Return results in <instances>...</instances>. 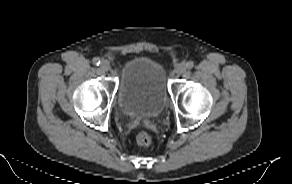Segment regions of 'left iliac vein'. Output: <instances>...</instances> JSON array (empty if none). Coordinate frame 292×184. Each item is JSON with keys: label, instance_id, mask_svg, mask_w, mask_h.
Instances as JSON below:
<instances>
[{"label": "left iliac vein", "instance_id": "1", "mask_svg": "<svg viewBox=\"0 0 292 184\" xmlns=\"http://www.w3.org/2000/svg\"><path fill=\"white\" fill-rule=\"evenodd\" d=\"M186 71V64L184 62L179 63L175 66L174 72L178 75L184 73Z\"/></svg>", "mask_w": 292, "mask_h": 184}]
</instances>
